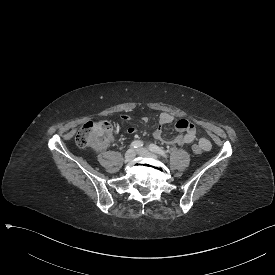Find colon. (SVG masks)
Masks as SVG:
<instances>
[{"label":"colon","mask_w":275,"mask_h":275,"mask_svg":"<svg viewBox=\"0 0 275 275\" xmlns=\"http://www.w3.org/2000/svg\"><path fill=\"white\" fill-rule=\"evenodd\" d=\"M113 138V127L108 121H88L83 124L76 134L75 141L80 148H92L97 151H105L107 143ZM206 149L204 145L195 144V153H201Z\"/></svg>","instance_id":"colon-1"}]
</instances>
